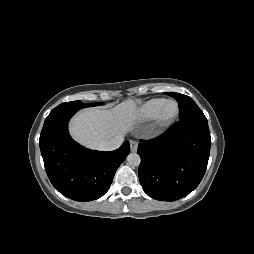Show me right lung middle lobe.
<instances>
[{"label":"right lung middle lobe","mask_w":254,"mask_h":254,"mask_svg":"<svg viewBox=\"0 0 254 254\" xmlns=\"http://www.w3.org/2000/svg\"><path fill=\"white\" fill-rule=\"evenodd\" d=\"M65 105H77L79 107H91V106H98V105H102V103H90V104H84L81 101L77 100V101H73V102H66L63 103Z\"/></svg>","instance_id":"right-lung-middle-lobe-1"}]
</instances>
